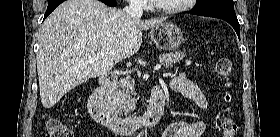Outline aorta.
Instances as JSON below:
<instances>
[{
	"label": "aorta",
	"instance_id": "762f6f07",
	"mask_svg": "<svg viewBox=\"0 0 280 137\" xmlns=\"http://www.w3.org/2000/svg\"><path fill=\"white\" fill-rule=\"evenodd\" d=\"M143 134H144V133H143V132H141V133L139 134V137L143 136Z\"/></svg>",
	"mask_w": 280,
	"mask_h": 137
}]
</instances>
